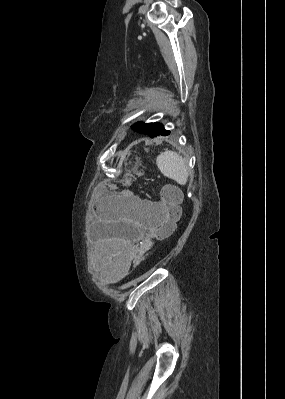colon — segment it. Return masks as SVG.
I'll list each match as a JSON object with an SVG mask.
<instances>
[{
	"mask_svg": "<svg viewBox=\"0 0 285 399\" xmlns=\"http://www.w3.org/2000/svg\"><path fill=\"white\" fill-rule=\"evenodd\" d=\"M163 204L160 206L165 214V221L155 231L154 238L164 239L168 237L175 229L176 223L180 217L179 194L173 191L170 187L164 188L162 191ZM153 240L151 238L137 244L134 249L136 261L139 262L142 258L148 255L152 249Z\"/></svg>",
	"mask_w": 285,
	"mask_h": 399,
	"instance_id": "colon-1",
	"label": "colon"
}]
</instances>
